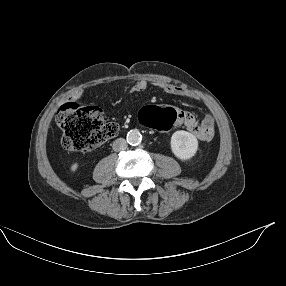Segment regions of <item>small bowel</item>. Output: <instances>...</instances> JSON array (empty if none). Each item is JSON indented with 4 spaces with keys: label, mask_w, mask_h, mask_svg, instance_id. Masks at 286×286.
<instances>
[{
    "label": "small bowel",
    "mask_w": 286,
    "mask_h": 286,
    "mask_svg": "<svg viewBox=\"0 0 286 286\" xmlns=\"http://www.w3.org/2000/svg\"><path fill=\"white\" fill-rule=\"evenodd\" d=\"M148 84L145 80L140 79L133 83L128 91L132 92H143L147 89ZM158 87L164 92L172 95H178L182 97L199 99V95L187 88L182 86L172 84V83H159ZM177 114V122L175 126H183L189 131H191L198 140L203 142L210 141L215 134V119L213 114L208 113L204 116L202 121H198L196 117L188 112L179 109L172 108ZM174 126V127H175Z\"/></svg>",
    "instance_id": "obj_1"
}]
</instances>
